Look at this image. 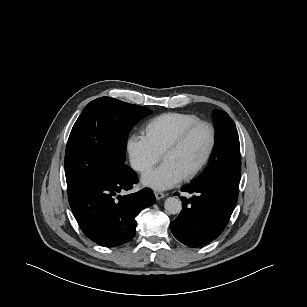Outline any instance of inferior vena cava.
<instances>
[{
	"label": "inferior vena cava",
	"instance_id": "inferior-vena-cava-1",
	"mask_svg": "<svg viewBox=\"0 0 307 307\" xmlns=\"http://www.w3.org/2000/svg\"><path fill=\"white\" fill-rule=\"evenodd\" d=\"M132 167H133V168H135V169H137V170H139V169H141V168H142V165H141V164H138V163L133 162V163H132Z\"/></svg>",
	"mask_w": 307,
	"mask_h": 307
}]
</instances>
